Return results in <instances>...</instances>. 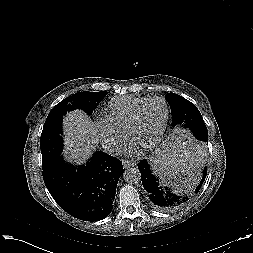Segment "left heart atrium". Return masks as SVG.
I'll list each match as a JSON object with an SVG mask.
<instances>
[{
	"instance_id": "39dd6f15",
	"label": "left heart atrium",
	"mask_w": 253,
	"mask_h": 253,
	"mask_svg": "<svg viewBox=\"0 0 253 253\" xmlns=\"http://www.w3.org/2000/svg\"><path fill=\"white\" fill-rule=\"evenodd\" d=\"M135 150H137V146L133 144L132 147L130 148V151H135Z\"/></svg>"
}]
</instances>
